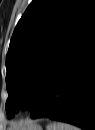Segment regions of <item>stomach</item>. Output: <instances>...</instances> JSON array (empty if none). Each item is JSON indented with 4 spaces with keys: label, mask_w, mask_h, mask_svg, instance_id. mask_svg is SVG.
Masks as SVG:
<instances>
[{
    "label": "stomach",
    "mask_w": 95,
    "mask_h": 130,
    "mask_svg": "<svg viewBox=\"0 0 95 130\" xmlns=\"http://www.w3.org/2000/svg\"><path fill=\"white\" fill-rule=\"evenodd\" d=\"M23 127L25 128H21L20 130H43L40 125L32 122L23 125ZM11 130H16V129H11Z\"/></svg>",
    "instance_id": "1"
}]
</instances>
